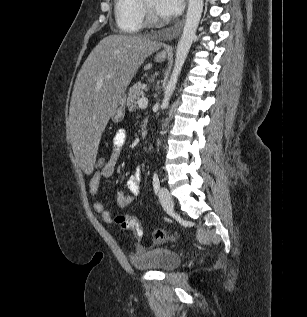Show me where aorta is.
<instances>
[{"label": "aorta", "mask_w": 307, "mask_h": 317, "mask_svg": "<svg viewBox=\"0 0 307 317\" xmlns=\"http://www.w3.org/2000/svg\"><path fill=\"white\" fill-rule=\"evenodd\" d=\"M202 11L203 0H189L183 33L176 49L173 71L165 87L164 98L162 102V107L164 109L168 108L170 98L176 88L178 77L193 43L196 30L201 19Z\"/></svg>", "instance_id": "1"}]
</instances>
